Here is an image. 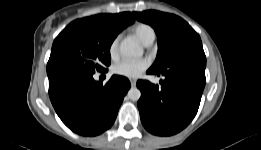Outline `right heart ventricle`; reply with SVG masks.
I'll list each match as a JSON object with an SVG mask.
<instances>
[{"instance_id": "1", "label": "right heart ventricle", "mask_w": 261, "mask_h": 150, "mask_svg": "<svg viewBox=\"0 0 261 150\" xmlns=\"http://www.w3.org/2000/svg\"><path fill=\"white\" fill-rule=\"evenodd\" d=\"M133 34L143 43L146 44L150 40H154L155 31L149 24L146 23H137L132 28Z\"/></svg>"}]
</instances>
